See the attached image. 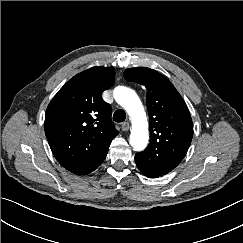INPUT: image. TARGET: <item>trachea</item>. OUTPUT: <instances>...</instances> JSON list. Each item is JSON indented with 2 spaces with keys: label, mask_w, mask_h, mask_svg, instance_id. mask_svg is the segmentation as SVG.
<instances>
[{
  "label": "trachea",
  "mask_w": 243,
  "mask_h": 243,
  "mask_svg": "<svg viewBox=\"0 0 243 243\" xmlns=\"http://www.w3.org/2000/svg\"><path fill=\"white\" fill-rule=\"evenodd\" d=\"M125 118H126V114L123 110H117L113 115V120L118 123L123 122Z\"/></svg>",
  "instance_id": "1"
}]
</instances>
